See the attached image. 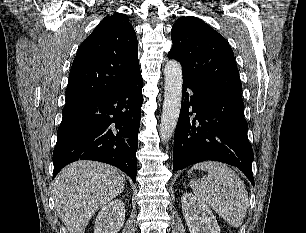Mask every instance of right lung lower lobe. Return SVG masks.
<instances>
[{
    "label": "right lung lower lobe",
    "instance_id": "98d812e1",
    "mask_svg": "<svg viewBox=\"0 0 306 233\" xmlns=\"http://www.w3.org/2000/svg\"><path fill=\"white\" fill-rule=\"evenodd\" d=\"M142 87L139 73L111 95L62 110L53 178L67 164L88 159L114 165L136 181Z\"/></svg>",
    "mask_w": 306,
    "mask_h": 233
}]
</instances>
